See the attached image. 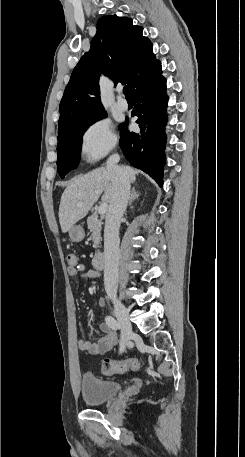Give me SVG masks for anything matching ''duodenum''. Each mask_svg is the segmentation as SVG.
<instances>
[{"mask_svg":"<svg viewBox=\"0 0 245 457\" xmlns=\"http://www.w3.org/2000/svg\"><path fill=\"white\" fill-rule=\"evenodd\" d=\"M105 255L102 252L97 253L94 258H93V266L97 269L100 270L104 267L105 265Z\"/></svg>","mask_w":245,"mask_h":457,"instance_id":"duodenum-1","label":"duodenum"}]
</instances>
